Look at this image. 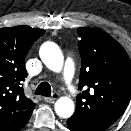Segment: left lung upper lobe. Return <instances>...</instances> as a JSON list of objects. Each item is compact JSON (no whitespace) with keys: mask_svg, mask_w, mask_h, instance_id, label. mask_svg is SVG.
Masks as SVG:
<instances>
[{"mask_svg":"<svg viewBox=\"0 0 131 131\" xmlns=\"http://www.w3.org/2000/svg\"><path fill=\"white\" fill-rule=\"evenodd\" d=\"M82 58L77 106L72 115L95 131L110 127L131 99V62L124 48L107 33L79 27Z\"/></svg>","mask_w":131,"mask_h":131,"instance_id":"1","label":"left lung upper lobe"}]
</instances>
